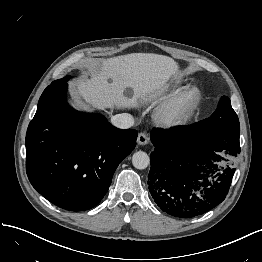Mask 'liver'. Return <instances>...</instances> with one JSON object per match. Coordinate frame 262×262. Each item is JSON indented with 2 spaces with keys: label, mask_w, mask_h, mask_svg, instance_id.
<instances>
[{
  "label": "liver",
  "mask_w": 262,
  "mask_h": 262,
  "mask_svg": "<svg viewBox=\"0 0 262 262\" xmlns=\"http://www.w3.org/2000/svg\"><path fill=\"white\" fill-rule=\"evenodd\" d=\"M178 69L172 58L152 53H132L105 59L91 79L77 83L76 99L83 102L86 109L134 108L140 99L162 89L178 73ZM126 88L132 89V97L124 95Z\"/></svg>",
  "instance_id": "obj_1"
}]
</instances>
